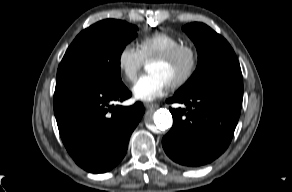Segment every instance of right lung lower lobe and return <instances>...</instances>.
I'll list each match as a JSON object with an SVG mask.
<instances>
[{
  "label": "right lung lower lobe",
  "instance_id": "98d812e1",
  "mask_svg": "<svg viewBox=\"0 0 292 192\" xmlns=\"http://www.w3.org/2000/svg\"><path fill=\"white\" fill-rule=\"evenodd\" d=\"M131 97L121 85L61 76L56 79L54 113L61 139L74 161L92 173H104L125 156L131 133L144 114L142 103L113 105Z\"/></svg>",
  "mask_w": 292,
  "mask_h": 192
}]
</instances>
